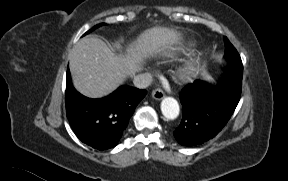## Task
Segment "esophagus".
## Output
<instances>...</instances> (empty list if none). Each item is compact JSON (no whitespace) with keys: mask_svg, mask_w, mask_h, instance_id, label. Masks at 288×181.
<instances>
[{"mask_svg":"<svg viewBox=\"0 0 288 181\" xmlns=\"http://www.w3.org/2000/svg\"><path fill=\"white\" fill-rule=\"evenodd\" d=\"M164 91L160 88H157L155 90H153L152 92V97L155 99V100H161L163 97H164Z\"/></svg>","mask_w":288,"mask_h":181,"instance_id":"esophagus-1","label":"esophagus"}]
</instances>
